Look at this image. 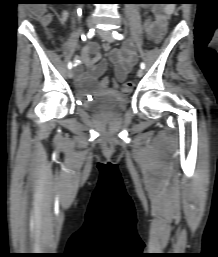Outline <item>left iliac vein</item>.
Returning <instances> with one entry per match:
<instances>
[{
    "mask_svg": "<svg viewBox=\"0 0 218 257\" xmlns=\"http://www.w3.org/2000/svg\"><path fill=\"white\" fill-rule=\"evenodd\" d=\"M98 34L100 35V37L104 40L107 41L109 43L114 41V37L112 36V34L109 31L106 30H98ZM137 76L138 77H142L143 76V70L142 68H140L137 72Z\"/></svg>",
    "mask_w": 218,
    "mask_h": 257,
    "instance_id": "4c4485c4",
    "label": "left iliac vein"
}]
</instances>
